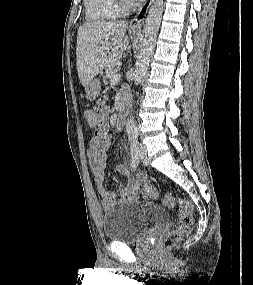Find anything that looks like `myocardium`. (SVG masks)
Listing matches in <instances>:
<instances>
[{"mask_svg":"<svg viewBox=\"0 0 253 285\" xmlns=\"http://www.w3.org/2000/svg\"><path fill=\"white\" fill-rule=\"evenodd\" d=\"M118 7L124 12L128 10L132 4L130 0H116Z\"/></svg>","mask_w":253,"mask_h":285,"instance_id":"f54148a6","label":"myocardium"}]
</instances>
